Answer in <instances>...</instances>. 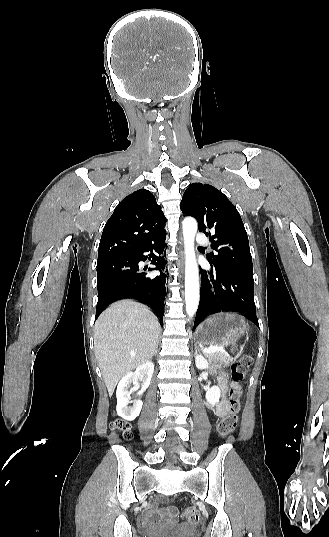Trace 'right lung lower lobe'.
I'll return each instance as SVG.
<instances>
[{
	"mask_svg": "<svg viewBox=\"0 0 329 537\" xmlns=\"http://www.w3.org/2000/svg\"><path fill=\"white\" fill-rule=\"evenodd\" d=\"M165 238L160 237L154 243L134 251L127 255L112 256L97 260V289L98 302L96 318L112 302L120 299L133 298L140 300L152 307L154 313L162 324L164 315V300L166 296L165 269ZM156 251L160 256L152 257V264L155 268H139L140 261H146L150 257L144 255L145 252ZM159 270L160 275L148 277L147 270Z\"/></svg>",
	"mask_w": 329,
	"mask_h": 537,
	"instance_id": "1",
	"label": "right lung lower lobe"
}]
</instances>
